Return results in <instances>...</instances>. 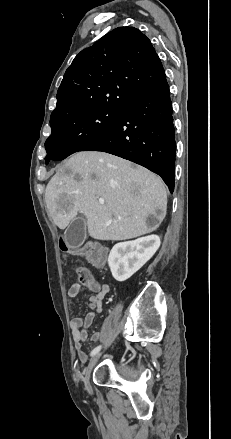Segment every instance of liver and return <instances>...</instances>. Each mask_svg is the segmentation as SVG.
Instances as JSON below:
<instances>
[{
  "instance_id": "1",
  "label": "liver",
  "mask_w": 231,
  "mask_h": 439,
  "mask_svg": "<svg viewBox=\"0 0 231 439\" xmlns=\"http://www.w3.org/2000/svg\"><path fill=\"white\" fill-rule=\"evenodd\" d=\"M45 203L59 229L81 213L91 237L119 241L154 231L166 215L167 193L151 171L112 154L83 151L58 168L46 187ZM149 216L156 225L148 223Z\"/></svg>"
}]
</instances>
